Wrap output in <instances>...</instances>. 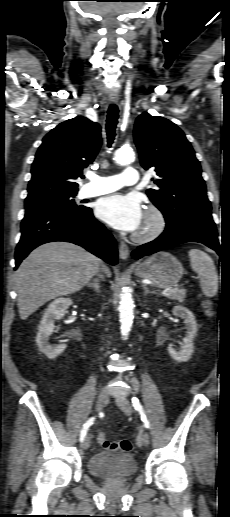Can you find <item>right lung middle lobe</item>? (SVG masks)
I'll return each mask as SVG.
<instances>
[{"instance_id":"1","label":"right lung middle lobe","mask_w":230,"mask_h":517,"mask_svg":"<svg viewBox=\"0 0 230 517\" xmlns=\"http://www.w3.org/2000/svg\"><path fill=\"white\" fill-rule=\"evenodd\" d=\"M77 192L63 194V195H55L50 196L38 200L33 201H25V209L27 210H35V209H43V208H55L62 209L67 211H82L86 207L83 205H76L73 197Z\"/></svg>"}]
</instances>
